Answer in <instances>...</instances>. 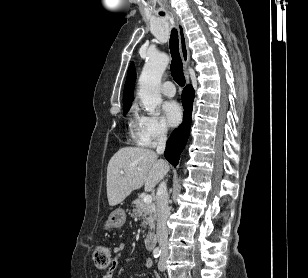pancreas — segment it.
Returning <instances> with one entry per match:
<instances>
[{
  "label": "pancreas",
  "mask_w": 308,
  "mask_h": 278,
  "mask_svg": "<svg viewBox=\"0 0 308 278\" xmlns=\"http://www.w3.org/2000/svg\"><path fill=\"white\" fill-rule=\"evenodd\" d=\"M132 204L135 207L133 211L137 212L143 219L142 226H148L149 230H154L157 217L155 204L152 202L146 204L140 198L134 200Z\"/></svg>",
  "instance_id": "obj_1"
}]
</instances>
